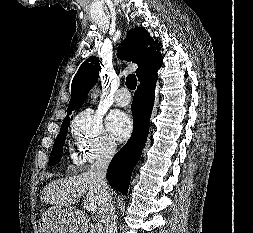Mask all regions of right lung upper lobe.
<instances>
[{
	"label": "right lung upper lobe",
	"mask_w": 253,
	"mask_h": 233,
	"mask_svg": "<svg viewBox=\"0 0 253 233\" xmlns=\"http://www.w3.org/2000/svg\"><path fill=\"white\" fill-rule=\"evenodd\" d=\"M159 50L160 45L157 41H153L144 27H135L127 33V37L118 47L117 56L120 59L131 60L138 65L136 75L138 80L141 81L142 78L152 72L158 71L161 67L163 58ZM100 63L97 57L92 56L82 63L75 74L71 84L68 115L83 105L87 93L97 82L99 70L101 69Z\"/></svg>",
	"instance_id": "1"
}]
</instances>
